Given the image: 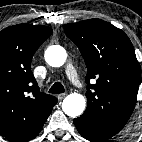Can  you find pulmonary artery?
Segmentation results:
<instances>
[{
  "instance_id": "1",
  "label": "pulmonary artery",
  "mask_w": 142,
  "mask_h": 142,
  "mask_svg": "<svg viewBox=\"0 0 142 142\" xmlns=\"http://www.w3.org/2000/svg\"><path fill=\"white\" fill-rule=\"evenodd\" d=\"M65 72H66V75H67L68 79L73 84L77 85L79 83V77H78L77 71H76L75 67L71 63H69L66 66Z\"/></svg>"
}]
</instances>
